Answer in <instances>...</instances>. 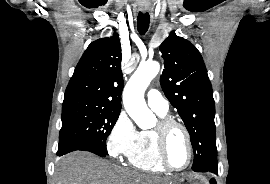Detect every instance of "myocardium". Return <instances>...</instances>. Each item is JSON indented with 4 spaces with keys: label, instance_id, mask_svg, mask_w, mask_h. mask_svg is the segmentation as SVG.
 <instances>
[{
    "label": "myocardium",
    "instance_id": "myocardium-1",
    "mask_svg": "<svg viewBox=\"0 0 270 184\" xmlns=\"http://www.w3.org/2000/svg\"><path fill=\"white\" fill-rule=\"evenodd\" d=\"M173 129H180L183 132L186 138L188 148V160L186 164L180 168L172 166L167 159V142L169 135ZM153 134L155 137L159 161L166 170L173 172H181L186 170L190 166L193 159V145L190 133L184 124L174 118L163 117L158 121L155 129L153 130Z\"/></svg>",
    "mask_w": 270,
    "mask_h": 184
}]
</instances>
